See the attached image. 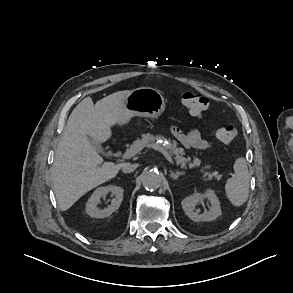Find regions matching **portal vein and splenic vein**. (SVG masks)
<instances>
[{"instance_id":"portal-vein-and-splenic-vein-1","label":"portal vein and splenic vein","mask_w":293,"mask_h":293,"mask_svg":"<svg viewBox=\"0 0 293 293\" xmlns=\"http://www.w3.org/2000/svg\"><path fill=\"white\" fill-rule=\"evenodd\" d=\"M148 147L161 152L164 155V157L167 159V161L171 163L172 165H174L173 159L163 147L157 144H150L148 145ZM143 148H144L143 146H132L123 154V158L129 159L133 157L134 155H136L137 153H139Z\"/></svg>"}]
</instances>
